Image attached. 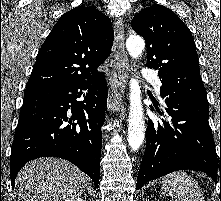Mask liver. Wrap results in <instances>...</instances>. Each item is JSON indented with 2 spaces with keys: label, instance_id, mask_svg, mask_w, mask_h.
<instances>
[{
  "label": "liver",
  "instance_id": "obj_1",
  "mask_svg": "<svg viewBox=\"0 0 221 201\" xmlns=\"http://www.w3.org/2000/svg\"><path fill=\"white\" fill-rule=\"evenodd\" d=\"M88 178L76 166L60 158H39L17 174L18 201H65L78 197Z\"/></svg>",
  "mask_w": 221,
  "mask_h": 201
}]
</instances>
